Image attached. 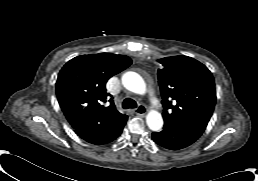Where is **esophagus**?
Masks as SVG:
<instances>
[{"mask_svg": "<svg viewBox=\"0 0 258 181\" xmlns=\"http://www.w3.org/2000/svg\"><path fill=\"white\" fill-rule=\"evenodd\" d=\"M135 114L143 116L147 113V109L144 105H139L138 108L134 110Z\"/></svg>", "mask_w": 258, "mask_h": 181, "instance_id": "esophagus-1", "label": "esophagus"}]
</instances>
